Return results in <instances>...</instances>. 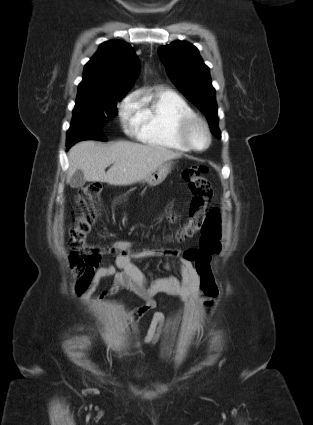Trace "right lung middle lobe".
<instances>
[{
  "mask_svg": "<svg viewBox=\"0 0 313 425\" xmlns=\"http://www.w3.org/2000/svg\"><path fill=\"white\" fill-rule=\"evenodd\" d=\"M126 93H112L98 98L76 100L73 110L71 126H76L80 120H89L99 124L117 115V102H120Z\"/></svg>",
  "mask_w": 313,
  "mask_h": 425,
  "instance_id": "obj_1",
  "label": "right lung middle lobe"
}]
</instances>
